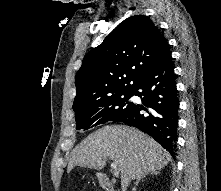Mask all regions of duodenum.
Masks as SVG:
<instances>
[{"mask_svg":"<svg viewBox=\"0 0 221 191\" xmlns=\"http://www.w3.org/2000/svg\"><path fill=\"white\" fill-rule=\"evenodd\" d=\"M98 180H99V183L102 187H104L105 189L109 190V191H114V185L111 181V179L107 176V175H104V174H100L98 176Z\"/></svg>","mask_w":221,"mask_h":191,"instance_id":"obj_1","label":"duodenum"}]
</instances>
